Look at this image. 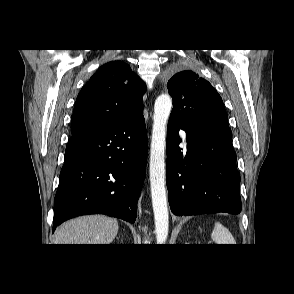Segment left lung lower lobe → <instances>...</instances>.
<instances>
[{"label": "left lung lower lobe", "mask_w": 294, "mask_h": 294, "mask_svg": "<svg viewBox=\"0 0 294 294\" xmlns=\"http://www.w3.org/2000/svg\"><path fill=\"white\" fill-rule=\"evenodd\" d=\"M179 129L186 132L184 153ZM231 137V131L192 128L170 116L166 184L172 213H240V175Z\"/></svg>", "instance_id": "1"}]
</instances>
